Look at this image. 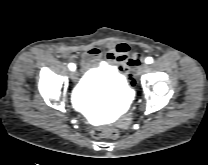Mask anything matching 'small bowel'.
<instances>
[{
    "label": "small bowel",
    "mask_w": 208,
    "mask_h": 165,
    "mask_svg": "<svg viewBox=\"0 0 208 165\" xmlns=\"http://www.w3.org/2000/svg\"><path fill=\"white\" fill-rule=\"evenodd\" d=\"M105 51V60L121 72L128 71L139 62L138 55L131 53L130 47L125 43L108 44ZM101 58L102 51L99 48H91L81 56V63L88 70L94 68Z\"/></svg>",
    "instance_id": "obj_1"
}]
</instances>
